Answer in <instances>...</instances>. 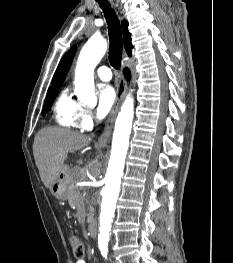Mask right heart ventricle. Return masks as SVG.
Instances as JSON below:
<instances>
[{
	"mask_svg": "<svg viewBox=\"0 0 233 263\" xmlns=\"http://www.w3.org/2000/svg\"><path fill=\"white\" fill-rule=\"evenodd\" d=\"M80 110V103L73 99L68 90H63L55 102V120L61 126L68 128H77V117Z\"/></svg>",
	"mask_w": 233,
	"mask_h": 263,
	"instance_id": "obj_1",
	"label": "right heart ventricle"
}]
</instances>
